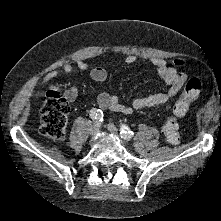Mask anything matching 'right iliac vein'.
<instances>
[{
	"label": "right iliac vein",
	"mask_w": 221,
	"mask_h": 221,
	"mask_svg": "<svg viewBox=\"0 0 221 221\" xmlns=\"http://www.w3.org/2000/svg\"><path fill=\"white\" fill-rule=\"evenodd\" d=\"M98 132H99V129H98L97 126H93V127L90 129V134H91L92 136H96V135L98 134Z\"/></svg>",
	"instance_id": "right-iliac-vein-1"
}]
</instances>
